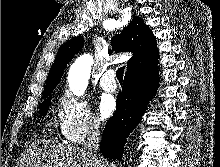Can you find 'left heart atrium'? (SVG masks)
I'll return each mask as SVG.
<instances>
[{
    "instance_id": "obj_1",
    "label": "left heart atrium",
    "mask_w": 220,
    "mask_h": 167,
    "mask_svg": "<svg viewBox=\"0 0 220 167\" xmlns=\"http://www.w3.org/2000/svg\"><path fill=\"white\" fill-rule=\"evenodd\" d=\"M116 109V102L113 96L103 95L99 101V113L101 118L106 119L111 116Z\"/></svg>"
}]
</instances>
